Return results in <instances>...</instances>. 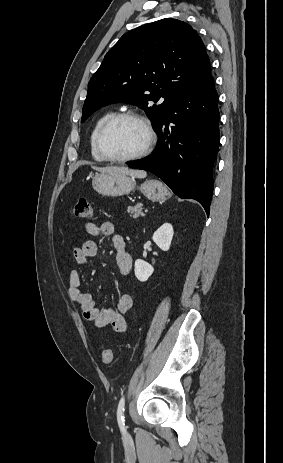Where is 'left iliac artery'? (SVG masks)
Here are the masks:
<instances>
[{
  "instance_id": "1",
  "label": "left iliac artery",
  "mask_w": 283,
  "mask_h": 463,
  "mask_svg": "<svg viewBox=\"0 0 283 463\" xmlns=\"http://www.w3.org/2000/svg\"><path fill=\"white\" fill-rule=\"evenodd\" d=\"M124 406H125V397L122 396V398L119 401L118 404V409H117V420L118 424L120 426V429L124 432L125 431V423H124Z\"/></svg>"
}]
</instances>
